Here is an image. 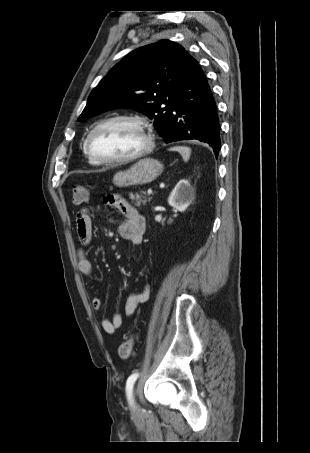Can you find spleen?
<instances>
[{
	"label": "spleen",
	"instance_id": "1",
	"mask_svg": "<svg viewBox=\"0 0 310 453\" xmlns=\"http://www.w3.org/2000/svg\"><path fill=\"white\" fill-rule=\"evenodd\" d=\"M170 150L179 152L185 162L189 160L191 155V149L186 146H175L170 148Z\"/></svg>",
	"mask_w": 310,
	"mask_h": 453
}]
</instances>
